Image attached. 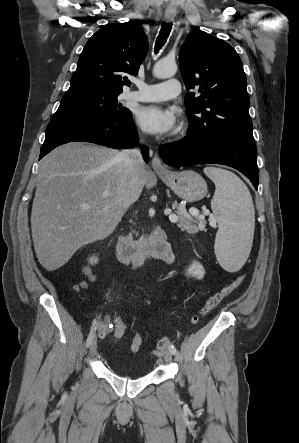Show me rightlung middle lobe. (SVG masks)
<instances>
[{
    "mask_svg": "<svg viewBox=\"0 0 299 443\" xmlns=\"http://www.w3.org/2000/svg\"><path fill=\"white\" fill-rule=\"evenodd\" d=\"M121 93L94 87L69 88L55 114L94 118L122 117L131 112L117 103V97Z\"/></svg>",
    "mask_w": 299,
    "mask_h": 443,
    "instance_id": "obj_1",
    "label": "right lung middle lobe"
}]
</instances>
